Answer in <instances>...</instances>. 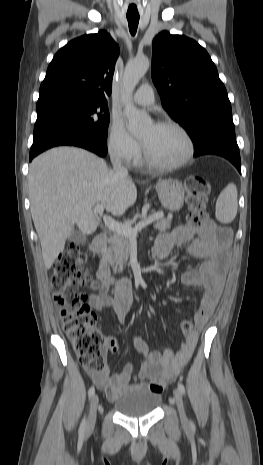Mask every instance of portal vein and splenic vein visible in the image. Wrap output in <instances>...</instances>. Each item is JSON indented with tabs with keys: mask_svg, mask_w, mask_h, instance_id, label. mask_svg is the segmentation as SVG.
<instances>
[{
	"mask_svg": "<svg viewBox=\"0 0 263 465\" xmlns=\"http://www.w3.org/2000/svg\"><path fill=\"white\" fill-rule=\"evenodd\" d=\"M105 206L104 204H97L94 207V213L102 215L104 212ZM163 213H155L150 215L147 219L140 221L138 224L135 225L134 228H132L128 224H122L117 221H115L111 216L104 215L103 216V221L105 223V226L118 234H122L124 236H127L130 239H134L137 236L138 231H140L142 228L152 224L155 220L162 218Z\"/></svg>",
	"mask_w": 263,
	"mask_h": 465,
	"instance_id": "portal-vein-and-splenic-vein-1",
	"label": "portal vein and splenic vein"
}]
</instances>
